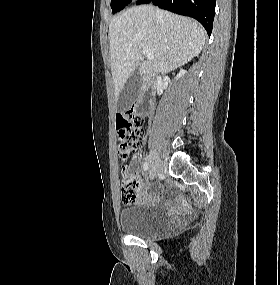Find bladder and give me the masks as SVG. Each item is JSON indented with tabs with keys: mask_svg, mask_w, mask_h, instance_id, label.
I'll return each instance as SVG.
<instances>
[{
	"mask_svg": "<svg viewBox=\"0 0 280 285\" xmlns=\"http://www.w3.org/2000/svg\"><path fill=\"white\" fill-rule=\"evenodd\" d=\"M172 218L157 207L136 203L123 208L119 213L120 228L134 236L148 237L162 232Z\"/></svg>",
	"mask_w": 280,
	"mask_h": 285,
	"instance_id": "bladder-1",
	"label": "bladder"
}]
</instances>
